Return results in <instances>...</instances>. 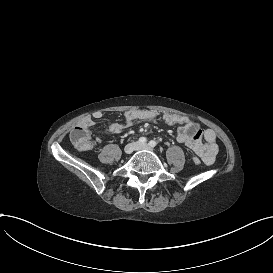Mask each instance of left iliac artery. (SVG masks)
<instances>
[{"mask_svg":"<svg viewBox=\"0 0 273 273\" xmlns=\"http://www.w3.org/2000/svg\"><path fill=\"white\" fill-rule=\"evenodd\" d=\"M149 145H150L151 147H155V146L157 145V143H156V141L151 140V141L149 142Z\"/></svg>","mask_w":273,"mask_h":273,"instance_id":"44dca946","label":"left iliac artery"}]
</instances>
